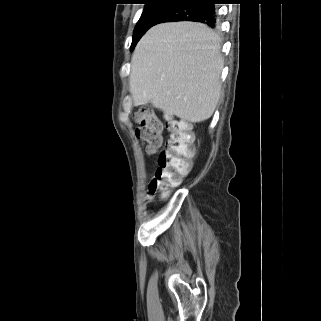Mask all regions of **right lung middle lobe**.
Segmentation results:
<instances>
[{"label": "right lung middle lobe", "mask_w": 321, "mask_h": 321, "mask_svg": "<svg viewBox=\"0 0 321 321\" xmlns=\"http://www.w3.org/2000/svg\"><path fill=\"white\" fill-rule=\"evenodd\" d=\"M175 4L176 2L173 0H156L145 5L144 11L134 29L131 50L134 49L144 33L156 25L161 16L175 6Z\"/></svg>", "instance_id": "obj_1"}]
</instances>
